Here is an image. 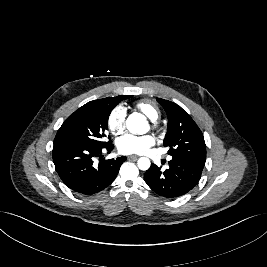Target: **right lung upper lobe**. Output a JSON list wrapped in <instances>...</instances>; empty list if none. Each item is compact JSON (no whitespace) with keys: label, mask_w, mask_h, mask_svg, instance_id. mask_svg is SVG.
<instances>
[{"label":"right lung upper lobe","mask_w":267,"mask_h":267,"mask_svg":"<svg viewBox=\"0 0 267 267\" xmlns=\"http://www.w3.org/2000/svg\"><path fill=\"white\" fill-rule=\"evenodd\" d=\"M110 99H112V100H115V101H122V100H124V96L122 95V96H117V97H109Z\"/></svg>","instance_id":"1"}]
</instances>
